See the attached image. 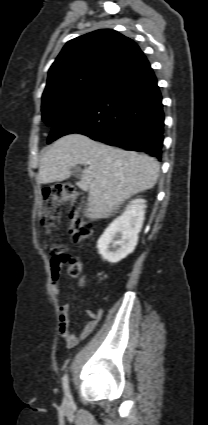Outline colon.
<instances>
[{"label": "colon", "instance_id": "obj_1", "mask_svg": "<svg viewBox=\"0 0 208 425\" xmlns=\"http://www.w3.org/2000/svg\"><path fill=\"white\" fill-rule=\"evenodd\" d=\"M44 207L41 215V223L49 232L58 228L60 223V207L67 201H71L72 208L69 212V233L75 243L90 240L95 235L94 225L84 219L80 213L83 194L69 183H57L43 190ZM45 249L52 256V268L60 269L64 263L68 264L70 275L76 277L81 272L77 259L64 252V249L54 243L45 245Z\"/></svg>", "mask_w": 208, "mask_h": 425}]
</instances>
